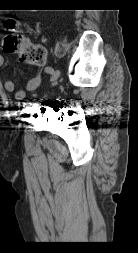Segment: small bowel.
I'll return each mask as SVG.
<instances>
[{"mask_svg":"<svg viewBox=\"0 0 138 253\" xmlns=\"http://www.w3.org/2000/svg\"><path fill=\"white\" fill-rule=\"evenodd\" d=\"M3 63H4V59H3L2 55H0V68L3 66ZM46 72L50 73L51 69L47 68ZM41 81H42V76L40 74L34 76L33 78H31L27 81L26 90L29 92L35 91L39 87ZM4 88L7 92L13 93L14 98L18 101L23 100L26 96L25 90L16 89L14 82L11 80H7L4 83Z\"/></svg>","mask_w":138,"mask_h":253,"instance_id":"small-bowel-1","label":"small bowel"}]
</instances>
